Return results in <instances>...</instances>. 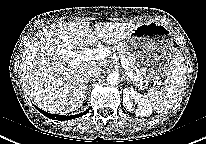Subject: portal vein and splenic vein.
Listing matches in <instances>:
<instances>
[{"instance_id": "1", "label": "portal vein and splenic vein", "mask_w": 206, "mask_h": 144, "mask_svg": "<svg viewBox=\"0 0 206 144\" xmlns=\"http://www.w3.org/2000/svg\"><path fill=\"white\" fill-rule=\"evenodd\" d=\"M62 53L68 54L71 57L75 58V62L78 61H87V60H101L106 57H108L111 52L108 48L102 47V48H95V49H90V48H84L82 51L79 52H74L71 50H62ZM121 64L125 69L126 75L132 80L138 81V77L133 75L132 72L128 71V64L126 60L120 56Z\"/></svg>"}]
</instances>
